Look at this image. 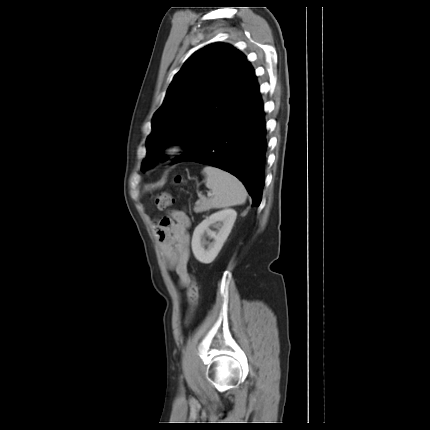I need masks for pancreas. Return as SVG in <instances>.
<instances>
[{
    "instance_id": "pancreas-1",
    "label": "pancreas",
    "mask_w": 430,
    "mask_h": 430,
    "mask_svg": "<svg viewBox=\"0 0 430 430\" xmlns=\"http://www.w3.org/2000/svg\"><path fill=\"white\" fill-rule=\"evenodd\" d=\"M212 208L211 206V200L206 198H200L193 208L195 213H202L205 211H208Z\"/></svg>"
}]
</instances>
